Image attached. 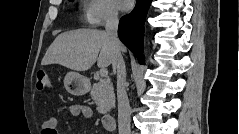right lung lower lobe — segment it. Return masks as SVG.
Wrapping results in <instances>:
<instances>
[{
	"instance_id": "98d812e1",
	"label": "right lung lower lobe",
	"mask_w": 239,
	"mask_h": 134,
	"mask_svg": "<svg viewBox=\"0 0 239 134\" xmlns=\"http://www.w3.org/2000/svg\"><path fill=\"white\" fill-rule=\"evenodd\" d=\"M151 2L152 0H136L134 10L121 18L118 27L120 40L134 53L140 63L144 62V23Z\"/></svg>"
}]
</instances>
